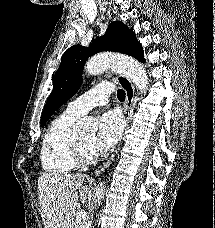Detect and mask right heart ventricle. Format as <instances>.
<instances>
[{"mask_svg":"<svg viewBox=\"0 0 215 228\" xmlns=\"http://www.w3.org/2000/svg\"><path fill=\"white\" fill-rule=\"evenodd\" d=\"M79 116L65 110L48 126L44 134L40 159L43 169L50 174H66L78 167L73 151V126Z\"/></svg>","mask_w":215,"mask_h":228,"instance_id":"obj_1","label":"right heart ventricle"}]
</instances>
